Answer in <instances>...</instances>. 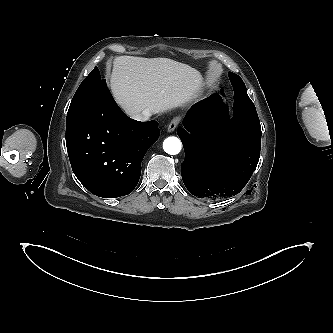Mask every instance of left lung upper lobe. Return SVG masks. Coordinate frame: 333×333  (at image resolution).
<instances>
[{
  "label": "left lung upper lobe",
  "instance_id": "1",
  "mask_svg": "<svg viewBox=\"0 0 333 333\" xmlns=\"http://www.w3.org/2000/svg\"><path fill=\"white\" fill-rule=\"evenodd\" d=\"M229 78L234 89V100L244 102L248 106L255 108L246 93V86L242 79L238 75L231 72H229Z\"/></svg>",
  "mask_w": 333,
  "mask_h": 333
}]
</instances>
